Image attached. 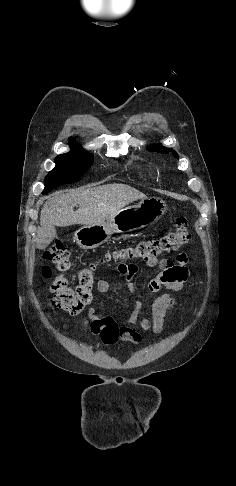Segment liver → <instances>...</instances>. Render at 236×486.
<instances>
[{"label":"liver","instance_id":"1","mask_svg":"<svg viewBox=\"0 0 236 486\" xmlns=\"http://www.w3.org/2000/svg\"><path fill=\"white\" fill-rule=\"evenodd\" d=\"M145 198V194L125 184L68 190L57 193L45 202L40 225L43 228L103 223L129 203ZM76 205H79V209L74 211Z\"/></svg>","mask_w":236,"mask_h":486}]
</instances>
